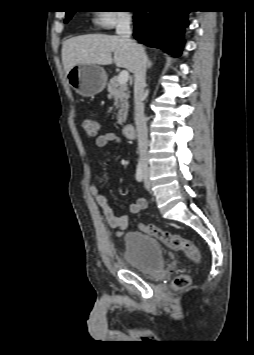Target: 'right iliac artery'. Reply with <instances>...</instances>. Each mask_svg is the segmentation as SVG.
I'll return each instance as SVG.
<instances>
[{"label":"right iliac artery","instance_id":"obj_1","mask_svg":"<svg viewBox=\"0 0 254 355\" xmlns=\"http://www.w3.org/2000/svg\"><path fill=\"white\" fill-rule=\"evenodd\" d=\"M136 180L141 182L143 180V169H142V163L139 162L137 165V170H136Z\"/></svg>","mask_w":254,"mask_h":355}]
</instances>
